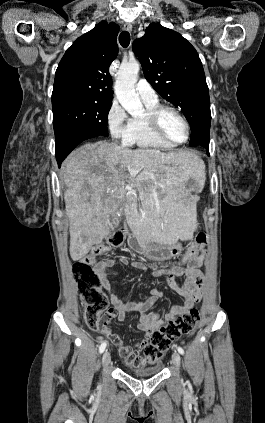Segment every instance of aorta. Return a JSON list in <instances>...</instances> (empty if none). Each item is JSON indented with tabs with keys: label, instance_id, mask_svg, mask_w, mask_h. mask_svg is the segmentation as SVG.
<instances>
[{
	"label": "aorta",
	"instance_id": "aorta-1",
	"mask_svg": "<svg viewBox=\"0 0 265 423\" xmlns=\"http://www.w3.org/2000/svg\"><path fill=\"white\" fill-rule=\"evenodd\" d=\"M138 72V62L122 64L114 86L119 103L132 116L140 115L144 111L139 95L135 91Z\"/></svg>",
	"mask_w": 265,
	"mask_h": 423
}]
</instances>
